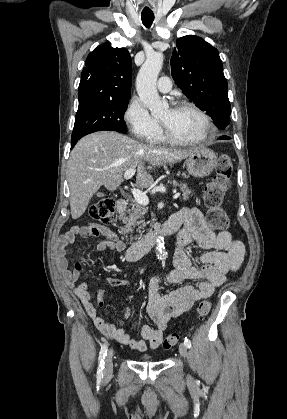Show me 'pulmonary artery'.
<instances>
[{"label": "pulmonary artery", "mask_w": 287, "mask_h": 419, "mask_svg": "<svg viewBox=\"0 0 287 419\" xmlns=\"http://www.w3.org/2000/svg\"><path fill=\"white\" fill-rule=\"evenodd\" d=\"M172 83L168 76H162L159 78V81L157 83V89L160 92L166 93L171 90Z\"/></svg>", "instance_id": "pulmonary-artery-1"}]
</instances>
